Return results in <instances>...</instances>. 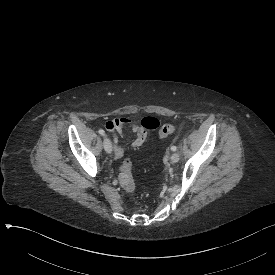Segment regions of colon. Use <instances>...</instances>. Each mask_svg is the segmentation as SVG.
Listing matches in <instances>:
<instances>
[{"label":"colon","instance_id":"5ec220e1","mask_svg":"<svg viewBox=\"0 0 275 275\" xmlns=\"http://www.w3.org/2000/svg\"><path fill=\"white\" fill-rule=\"evenodd\" d=\"M176 130V127L172 124H165L160 127L159 133L162 137H166L171 135ZM118 182L120 186L128 192H132L135 190V182L131 170V165L125 163L122 165L120 172L118 174Z\"/></svg>","mask_w":275,"mask_h":275}]
</instances>
